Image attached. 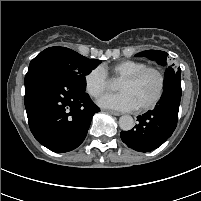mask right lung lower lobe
Here are the masks:
<instances>
[{
  "label": "right lung lower lobe",
  "instance_id": "98d812e1",
  "mask_svg": "<svg viewBox=\"0 0 201 201\" xmlns=\"http://www.w3.org/2000/svg\"><path fill=\"white\" fill-rule=\"evenodd\" d=\"M25 108L35 139L53 152H68L85 139L100 109L66 75L39 66L25 76Z\"/></svg>",
  "mask_w": 201,
  "mask_h": 201
}]
</instances>
